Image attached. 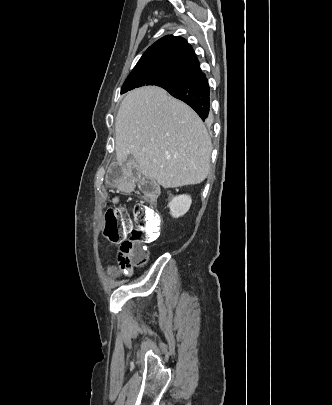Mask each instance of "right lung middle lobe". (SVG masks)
Masks as SVG:
<instances>
[{"instance_id": "right-lung-middle-lobe-1", "label": "right lung middle lobe", "mask_w": 332, "mask_h": 405, "mask_svg": "<svg viewBox=\"0 0 332 405\" xmlns=\"http://www.w3.org/2000/svg\"><path fill=\"white\" fill-rule=\"evenodd\" d=\"M183 79L181 76L156 70L133 72L125 80L121 88V94L144 85H156L163 88Z\"/></svg>"}]
</instances>
